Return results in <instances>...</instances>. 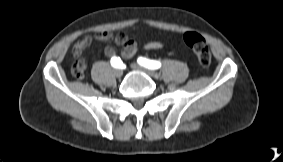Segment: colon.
Returning a JSON list of instances; mask_svg holds the SVG:
<instances>
[{
    "instance_id": "1",
    "label": "colon",
    "mask_w": 283,
    "mask_h": 162,
    "mask_svg": "<svg viewBox=\"0 0 283 162\" xmlns=\"http://www.w3.org/2000/svg\"><path fill=\"white\" fill-rule=\"evenodd\" d=\"M184 43L190 47L197 56L198 62L202 67H208L211 63V53L205 39L196 32H187L183 35ZM72 74L75 78H82L84 70L80 66H75L72 69Z\"/></svg>"
}]
</instances>
